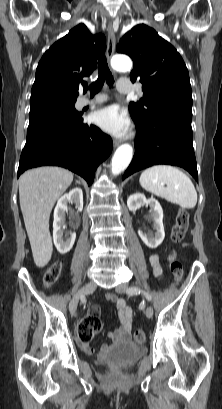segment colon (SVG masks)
<instances>
[{
	"mask_svg": "<svg viewBox=\"0 0 222 409\" xmlns=\"http://www.w3.org/2000/svg\"><path fill=\"white\" fill-rule=\"evenodd\" d=\"M189 225V214L186 210H179L176 221L172 227L170 240L172 243H180L187 232ZM170 271L175 279L179 281L183 275L182 264L175 259L169 261ZM62 271V264L59 261L54 262L44 273L43 283L46 287L53 286L59 279ZM101 323L98 320H92L89 318L83 319L78 325V338L80 341L90 342L92 338L99 332ZM135 341L143 343L145 341V334L141 329L135 332Z\"/></svg>",
	"mask_w": 222,
	"mask_h": 409,
	"instance_id": "1",
	"label": "colon"
}]
</instances>
